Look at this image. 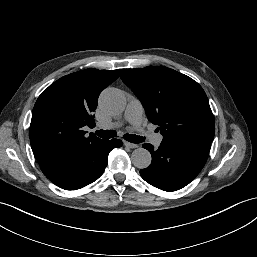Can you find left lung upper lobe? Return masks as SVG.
Here are the masks:
<instances>
[{"label": "left lung upper lobe", "instance_id": "1", "mask_svg": "<svg viewBox=\"0 0 257 257\" xmlns=\"http://www.w3.org/2000/svg\"><path fill=\"white\" fill-rule=\"evenodd\" d=\"M122 81L142 102L163 140L212 141L215 120L202 87L164 66L121 69Z\"/></svg>", "mask_w": 257, "mask_h": 257}]
</instances>
